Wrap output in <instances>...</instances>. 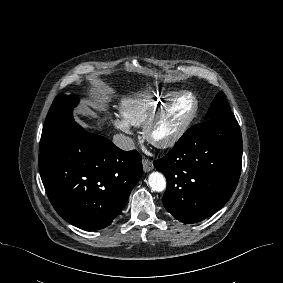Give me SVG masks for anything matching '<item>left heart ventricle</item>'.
<instances>
[{
	"mask_svg": "<svg viewBox=\"0 0 283 283\" xmlns=\"http://www.w3.org/2000/svg\"><path fill=\"white\" fill-rule=\"evenodd\" d=\"M191 102L188 99L176 101L160 119L153 130L155 139H163L170 135L188 113Z\"/></svg>",
	"mask_w": 283,
	"mask_h": 283,
	"instance_id": "b2bd125f",
	"label": "left heart ventricle"
}]
</instances>
